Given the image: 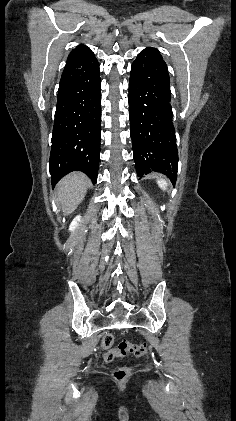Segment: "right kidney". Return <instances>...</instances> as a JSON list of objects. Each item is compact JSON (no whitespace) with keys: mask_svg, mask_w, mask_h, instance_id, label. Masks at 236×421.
<instances>
[{"mask_svg":"<svg viewBox=\"0 0 236 421\" xmlns=\"http://www.w3.org/2000/svg\"><path fill=\"white\" fill-rule=\"evenodd\" d=\"M80 219L81 217H75V219H73L70 227H69V231H75L76 227H78V223H80Z\"/></svg>","mask_w":236,"mask_h":421,"instance_id":"1","label":"right kidney"}]
</instances>
